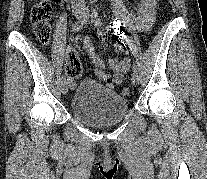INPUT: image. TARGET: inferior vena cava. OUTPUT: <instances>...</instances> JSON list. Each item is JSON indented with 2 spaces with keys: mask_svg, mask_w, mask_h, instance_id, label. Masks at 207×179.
Listing matches in <instances>:
<instances>
[{
  "mask_svg": "<svg viewBox=\"0 0 207 179\" xmlns=\"http://www.w3.org/2000/svg\"><path fill=\"white\" fill-rule=\"evenodd\" d=\"M72 2H81L84 3L85 0H71Z\"/></svg>",
  "mask_w": 207,
  "mask_h": 179,
  "instance_id": "inferior-vena-cava-1",
  "label": "inferior vena cava"
}]
</instances>
